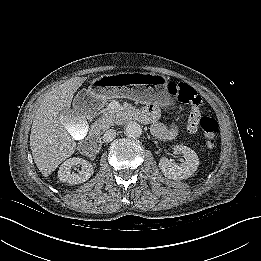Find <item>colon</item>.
<instances>
[{"instance_id":"colon-1","label":"colon","mask_w":261,"mask_h":261,"mask_svg":"<svg viewBox=\"0 0 261 261\" xmlns=\"http://www.w3.org/2000/svg\"><path fill=\"white\" fill-rule=\"evenodd\" d=\"M169 92L191 108L188 132L195 134L200 128L207 148L212 149L218 137L219 126L215 119L202 116L203 98L201 95L183 82L171 83Z\"/></svg>"}]
</instances>
